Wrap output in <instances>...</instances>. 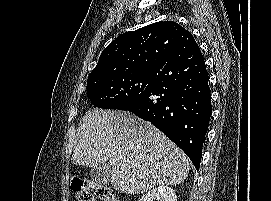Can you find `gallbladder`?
<instances>
[{"label":"gallbladder","mask_w":271,"mask_h":201,"mask_svg":"<svg viewBox=\"0 0 271 201\" xmlns=\"http://www.w3.org/2000/svg\"><path fill=\"white\" fill-rule=\"evenodd\" d=\"M90 177L96 183L108 184L111 180V167L109 163L91 168Z\"/></svg>","instance_id":"bac80fb5"}]
</instances>
